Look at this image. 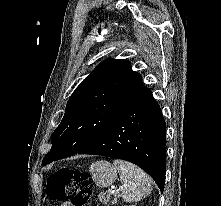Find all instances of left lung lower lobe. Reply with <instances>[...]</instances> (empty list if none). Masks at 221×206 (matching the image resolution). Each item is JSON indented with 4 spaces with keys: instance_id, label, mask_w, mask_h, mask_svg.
Listing matches in <instances>:
<instances>
[{
    "instance_id": "obj_1",
    "label": "left lung lower lobe",
    "mask_w": 221,
    "mask_h": 206,
    "mask_svg": "<svg viewBox=\"0 0 221 206\" xmlns=\"http://www.w3.org/2000/svg\"><path fill=\"white\" fill-rule=\"evenodd\" d=\"M166 123L150 89L142 93L78 153L123 159L146 171L164 189Z\"/></svg>"
}]
</instances>
